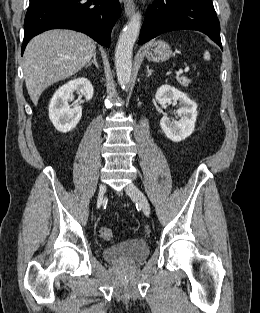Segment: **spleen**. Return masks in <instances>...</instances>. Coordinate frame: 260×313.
Here are the masks:
<instances>
[{"instance_id":"spleen-1","label":"spleen","mask_w":260,"mask_h":313,"mask_svg":"<svg viewBox=\"0 0 260 313\" xmlns=\"http://www.w3.org/2000/svg\"><path fill=\"white\" fill-rule=\"evenodd\" d=\"M203 58H204L205 60H210V54H209L208 51H205Z\"/></svg>"}]
</instances>
